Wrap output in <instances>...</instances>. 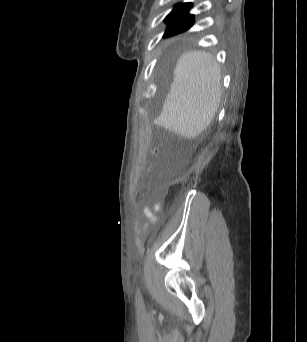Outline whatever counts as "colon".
Wrapping results in <instances>:
<instances>
[{"mask_svg":"<svg viewBox=\"0 0 307 342\" xmlns=\"http://www.w3.org/2000/svg\"><path fill=\"white\" fill-rule=\"evenodd\" d=\"M155 153H158V150H155ZM148 169H149V172L152 173V172H154L155 167L154 166H150Z\"/></svg>","mask_w":307,"mask_h":342,"instance_id":"colon-1","label":"colon"}]
</instances>
